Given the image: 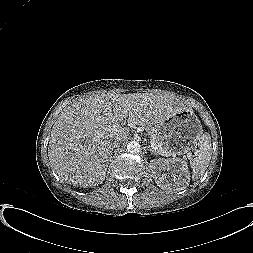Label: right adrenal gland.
<instances>
[{"label": "right adrenal gland", "mask_w": 253, "mask_h": 253, "mask_svg": "<svg viewBox=\"0 0 253 253\" xmlns=\"http://www.w3.org/2000/svg\"><path fill=\"white\" fill-rule=\"evenodd\" d=\"M115 147H111V150H113Z\"/></svg>", "instance_id": "right-adrenal-gland-1"}]
</instances>
